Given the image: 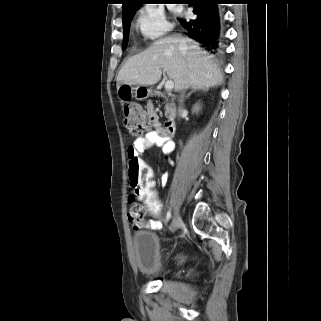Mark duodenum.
I'll return each mask as SVG.
<instances>
[{
	"label": "duodenum",
	"mask_w": 321,
	"mask_h": 321,
	"mask_svg": "<svg viewBox=\"0 0 321 321\" xmlns=\"http://www.w3.org/2000/svg\"><path fill=\"white\" fill-rule=\"evenodd\" d=\"M175 131V126L174 123L172 121L166 123L165 127H164V132L166 135H173Z\"/></svg>",
	"instance_id": "duodenum-1"
}]
</instances>
